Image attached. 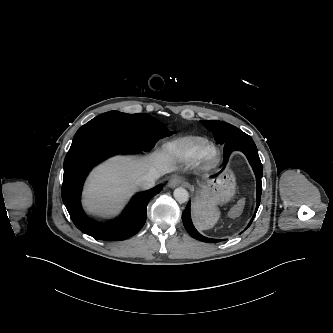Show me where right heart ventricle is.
Returning <instances> with one entry per match:
<instances>
[{
  "instance_id": "obj_1",
  "label": "right heart ventricle",
  "mask_w": 333,
  "mask_h": 333,
  "mask_svg": "<svg viewBox=\"0 0 333 333\" xmlns=\"http://www.w3.org/2000/svg\"><path fill=\"white\" fill-rule=\"evenodd\" d=\"M207 144L203 137L191 136L175 140L167 145L170 154L179 160L192 161L197 159L202 148Z\"/></svg>"
}]
</instances>
